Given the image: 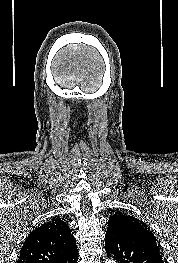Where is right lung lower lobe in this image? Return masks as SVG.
<instances>
[{"instance_id":"obj_1","label":"right lung lower lobe","mask_w":178,"mask_h":263,"mask_svg":"<svg viewBox=\"0 0 178 263\" xmlns=\"http://www.w3.org/2000/svg\"><path fill=\"white\" fill-rule=\"evenodd\" d=\"M78 260L77 254H75L73 257L70 259L66 260L64 263H76Z\"/></svg>"}]
</instances>
